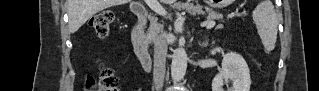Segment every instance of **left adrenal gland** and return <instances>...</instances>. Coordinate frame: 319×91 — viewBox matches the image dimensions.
Segmentation results:
<instances>
[{
  "label": "left adrenal gland",
  "instance_id": "left-adrenal-gland-1",
  "mask_svg": "<svg viewBox=\"0 0 319 91\" xmlns=\"http://www.w3.org/2000/svg\"><path fill=\"white\" fill-rule=\"evenodd\" d=\"M205 44H206L205 42H203V43H200V45H201V46H205Z\"/></svg>",
  "mask_w": 319,
  "mask_h": 91
}]
</instances>
